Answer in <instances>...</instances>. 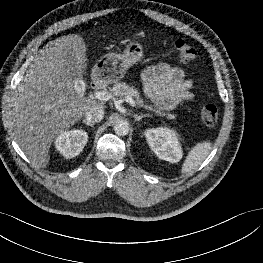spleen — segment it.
Masks as SVG:
<instances>
[{
  "label": "spleen",
  "mask_w": 263,
  "mask_h": 263,
  "mask_svg": "<svg viewBox=\"0 0 263 263\" xmlns=\"http://www.w3.org/2000/svg\"><path fill=\"white\" fill-rule=\"evenodd\" d=\"M211 151V143L202 142L196 144L188 153L181 168V173L185 174L195 170L208 156Z\"/></svg>",
  "instance_id": "spleen-1"
}]
</instances>
